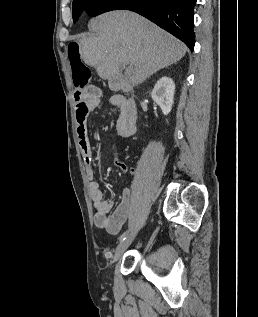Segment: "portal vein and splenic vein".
Instances as JSON below:
<instances>
[{
  "mask_svg": "<svg viewBox=\"0 0 258 317\" xmlns=\"http://www.w3.org/2000/svg\"><path fill=\"white\" fill-rule=\"evenodd\" d=\"M131 72H132L131 66H127V68H126V74H131Z\"/></svg>",
  "mask_w": 258,
  "mask_h": 317,
  "instance_id": "obj_1",
  "label": "portal vein and splenic vein"
}]
</instances>
